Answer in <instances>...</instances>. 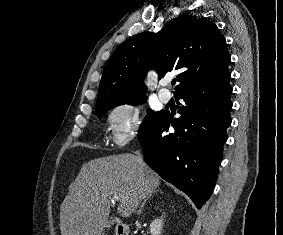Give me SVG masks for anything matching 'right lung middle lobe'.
Here are the masks:
<instances>
[{
  "label": "right lung middle lobe",
  "instance_id": "right-lung-middle-lobe-1",
  "mask_svg": "<svg viewBox=\"0 0 283 235\" xmlns=\"http://www.w3.org/2000/svg\"><path fill=\"white\" fill-rule=\"evenodd\" d=\"M144 97H139V98H134V99H128V100H120V101H112V102H102L96 104V115L98 117L103 116L109 109L121 105V104H131V105H136V104H141L143 103ZM147 116L145 117L144 121L142 122L138 133L140 134L144 130H146L148 127H150L154 121L159 117L161 112H153L151 110H147Z\"/></svg>",
  "mask_w": 283,
  "mask_h": 235
}]
</instances>
